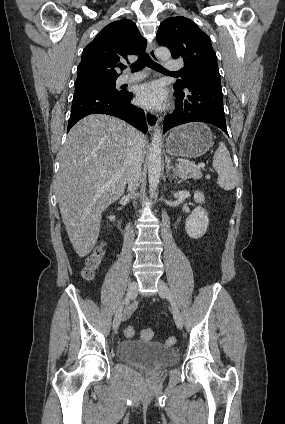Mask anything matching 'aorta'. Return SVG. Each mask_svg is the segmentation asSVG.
<instances>
[{
    "label": "aorta",
    "instance_id": "1",
    "mask_svg": "<svg viewBox=\"0 0 285 424\" xmlns=\"http://www.w3.org/2000/svg\"><path fill=\"white\" fill-rule=\"evenodd\" d=\"M155 55L158 59L162 61H168L171 57L170 51L166 47L157 48L155 51ZM161 142L162 130L161 128H157L152 137L148 157V181L150 196L154 195L160 181L162 167Z\"/></svg>",
    "mask_w": 285,
    "mask_h": 424
}]
</instances>
